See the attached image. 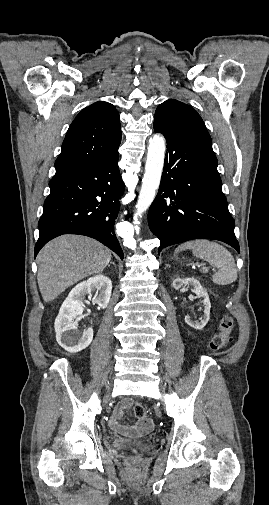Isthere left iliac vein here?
<instances>
[{
  "label": "left iliac vein",
  "mask_w": 269,
  "mask_h": 505,
  "mask_svg": "<svg viewBox=\"0 0 269 505\" xmlns=\"http://www.w3.org/2000/svg\"><path fill=\"white\" fill-rule=\"evenodd\" d=\"M156 412H160V409H156Z\"/></svg>",
  "instance_id": "4c4485c4"
}]
</instances>
